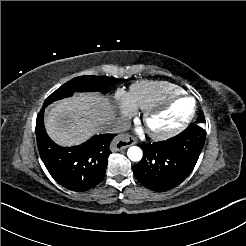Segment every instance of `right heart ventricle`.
Instances as JSON below:
<instances>
[{"instance_id":"e07e8e85","label":"right heart ventricle","mask_w":246,"mask_h":246,"mask_svg":"<svg viewBox=\"0 0 246 246\" xmlns=\"http://www.w3.org/2000/svg\"><path fill=\"white\" fill-rule=\"evenodd\" d=\"M134 110L148 111L182 94V89L161 81H139L130 87Z\"/></svg>"}]
</instances>
